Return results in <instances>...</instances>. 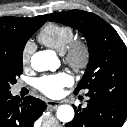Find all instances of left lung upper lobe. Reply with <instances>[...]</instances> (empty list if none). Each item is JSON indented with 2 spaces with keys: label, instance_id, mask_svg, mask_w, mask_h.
<instances>
[{
  "label": "left lung upper lobe",
  "instance_id": "5c2ea615",
  "mask_svg": "<svg viewBox=\"0 0 127 127\" xmlns=\"http://www.w3.org/2000/svg\"><path fill=\"white\" fill-rule=\"evenodd\" d=\"M49 21L76 28L87 40L89 63L74 93L81 89L92 92L103 87L127 89V49L108 23L82 10L54 13Z\"/></svg>",
  "mask_w": 127,
  "mask_h": 127
}]
</instances>
